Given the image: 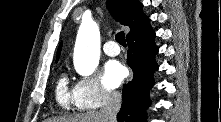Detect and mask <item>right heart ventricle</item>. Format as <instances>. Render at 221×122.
Here are the masks:
<instances>
[{
    "label": "right heart ventricle",
    "instance_id": "obj_1",
    "mask_svg": "<svg viewBox=\"0 0 221 122\" xmlns=\"http://www.w3.org/2000/svg\"><path fill=\"white\" fill-rule=\"evenodd\" d=\"M74 88L69 86V80L66 74H62L56 84V101L62 108L69 110L75 105ZM76 106V105H75Z\"/></svg>",
    "mask_w": 221,
    "mask_h": 122
}]
</instances>
